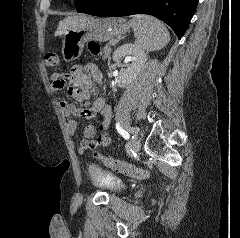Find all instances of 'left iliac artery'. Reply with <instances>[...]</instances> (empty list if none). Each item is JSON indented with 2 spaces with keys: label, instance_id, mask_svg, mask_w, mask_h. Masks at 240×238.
Returning a JSON list of instances; mask_svg holds the SVG:
<instances>
[{
  "label": "left iliac artery",
  "instance_id": "44dca946",
  "mask_svg": "<svg viewBox=\"0 0 240 238\" xmlns=\"http://www.w3.org/2000/svg\"><path fill=\"white\" fill-rule=\"evenodd\" d=\"M128 130L131 131V132H132L133 134H135L136 136L138 135V134H137V130L134 129L133 127H130ZM134 140L136 141L137 139L135 138Z\"/></svg>",
  "mask_w": 240,
  "mask_h": 238
}]
</instances>
